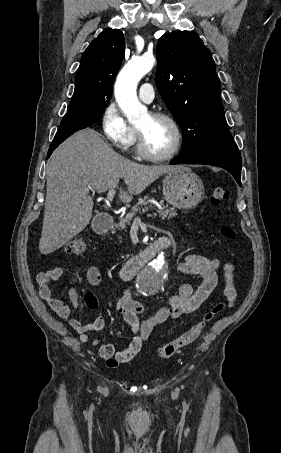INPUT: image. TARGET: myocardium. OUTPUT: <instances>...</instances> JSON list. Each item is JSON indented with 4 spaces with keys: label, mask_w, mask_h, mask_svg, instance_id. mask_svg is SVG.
Here are the masks:
<instances>
[{
    "label": "myocardium",
    "mask_w": 281,
    "mask_h": 453,
    "mask_svg": "<svg viewBox=\"0 0 281 453\" xmlns=\"http://www.w3.org/2000/svg\"><path fill=\"white\" fill-rule=\"evenodd\" d=\"M149 117L154 120V121H164L168 123L173 132H174V142L172 144L171 149L169 150L168 153L163 154V155H158L155 153H152L149 151L146 147L145 144V137L143 132L137 128V151L138 154L148 160L151 161H156V162H163V161H168L172 159L178 152L181 142H182V131L178 123L174 118L171 116L165 114V113H160V112H152L148 114Z\"/></svg>",
    "instance_id": "obj_1"
}]
</instances>
